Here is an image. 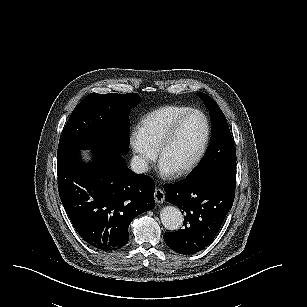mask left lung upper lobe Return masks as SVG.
Returning <instances> with one entry per match:
<instances>
[{
    "label": "left lung upper lobe",
    "instance_id": "left-lung-upper-lobe-1",
    "mask_svg": "<svg viewBox=\"0 0 307 307\" xmlns=\"http://www.w3.org/2000/svg\"><path fill=\"white\" fill-rule=\"evenodd\" d=\"M210 112L212 138L200 165L187 177H197L210 172L236 176V150L227 120L217 104L205 93H197Z\"/></svg>",
    "mask_w": 307,
    "mask_h": 307
}]
</instances>
